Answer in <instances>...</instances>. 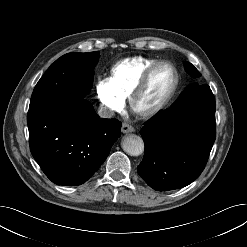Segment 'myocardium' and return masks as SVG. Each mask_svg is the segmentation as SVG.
<instances>
[{
	"instance_id": "myocardium-1",
	"label": "myocardium",
	"mask_w": 247,
	"mask_h": 247,
	"mask_svg": "<svg viewBox=\"0 0 247 247\" xmlns=\"http://www.w3.org/2000/svg\"><path fill=\"white\" fill-rule=\"evenodd\" d=\"M162 65L170 66L174 72V82L172 84V87L170 88L167 95L163 98V100L160 103H158L155 107H153L152 109L145 111V112H137L135 110V103H136L137 99L140 97V95L144 91L145 87L147 86L149 79H150L151 75L153 74V72ZM179 83H180V74H179L178 69L176 68V66L173 63L166 61V60H160V61L155 62L154 64L149 66L143 72V74L140 76L139 80L137 81V83L135 84V86L133 87L132 91L130 92V94L128 96V103H129V107H130L131 111L143 119L151 118V117L157 115L172 100V98L174 97V95L178 89Z\"/></svg>"
}]
</instances>
